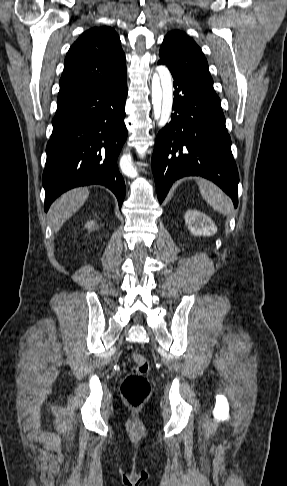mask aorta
Segmentation results:
<instances>
[{
    "instance_id": "aorta-1",
    "label": "aorta",
    "mask_w": 287,
    "mask_h": 486,
    "mask_svg": "<svg viewBox=\"0 0 287 486\" xmlns=\"http://www.w3.org/2000/svg\"><path fill=\"white\" fill-rule=\"evenodd\" d=\"M152 105L154 118L164 127L170 120L173 105V81L170 71L162 66L152 78ZM122 172L130 177L137 176L136 169L129 158L121 163Z\"/></svg>"
}]
</instances>
